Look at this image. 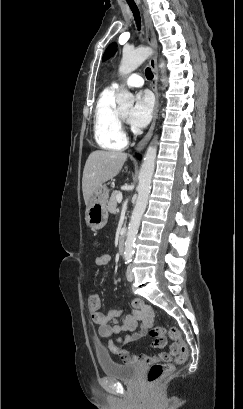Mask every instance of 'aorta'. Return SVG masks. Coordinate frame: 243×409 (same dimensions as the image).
Segmentation results:
<instances>
[{"label":"aorta","mask_w":243,"mask_h":409,"mask_svg":"<svg viewBox=\"0 0 243 409\" xmlns=\"http://www.w3.org/2000/svg\"><path fill=\"white\" fill-rule=\"evenodd\" d=\"M153 53L152 49L149 47H139L133 51L125 50L123 51L122 60L119 66V73L122 76L128 75L135 69H137L149 56ZM160 68L164 73L165 62L162 60L160 63ZM134 96L127 89L123 88L116 96V102L120 107H132L134 104ZM157 147L151 144L145 154L143 159L140 173H139V184H138V197L136 205L133 209L131 220L128 226L127 238L125 242V259H131L134 254V244L136 240V235L140 225L141 217L145 212L148 198L151 190V181L155 169V159H156Z\"/></svg>","instance_id":"aorta-1"}]
</instances>
